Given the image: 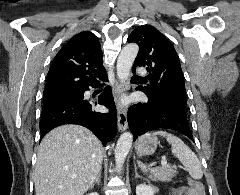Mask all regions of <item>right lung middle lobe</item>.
<instances>
[{"label":"right lung middle lobe","instance_id":"right-lung-middle-lobe-1","mask_svg":"<svg viewBox=\"0 0 240 195\" xmlns=\"http://www.w3.org/2000/svg\"><path fill=\"white\" fill-rule=\"evenodd\" d=\"M74 96L76 97L78 95V92H59V93H55V94H48V95H44L43 96V101L49 99V98H52V97H55V96Z\"/></svg>","mask_w":240,"mask_h":195}]
</instances>
